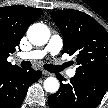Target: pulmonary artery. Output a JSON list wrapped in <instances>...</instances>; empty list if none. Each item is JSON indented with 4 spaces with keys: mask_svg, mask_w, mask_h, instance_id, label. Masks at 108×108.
I'll use <instances>...</instances> for the list:
<instances>
[{
    "mask_svg": "<svg viewBox=\"0 0 108 108\" xmlns=\"http://www.w3.org/2000/svg\"><path fill=\"white\" fill-rule=\"evenodd\" d=\"M61 49H62V39L58 35H54L52 36L49 43L44 49L33 50L27 53H23L21 54V58L23 59H41L47 54L56 56L60 52ZM75 73H76L75 69H69L67 71V75L69 77H73Z\"/></svg>",
    "mask_w": 108,
    "mask_h": 108,
    "instance_id": "e3ab8cb5",
    "label": "pulmonary artery"
}]
</instances>
